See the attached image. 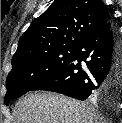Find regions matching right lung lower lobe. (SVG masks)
I'll list each match as a JSON object with an SVG mask.
<instances>
[{
    "instance_id": "right-lung-lower-lobe-1",
    "label": "right lung lower lobe",
    "mask_w": 122,
    "mask_h": 123,
    "mask_svg": "<svg viewBox=\"0 0 122 123\" xmlns=\"http://www.w3.org/2000/svg\"><path fill=\"white\" fill-rule=\"evenodd\" d=\"M33 90L57 92L81 101L111 95L114 103L122 94V41L115 25L109 21L91 33L70 64Z\"/></svg>"
}]
</instances>
